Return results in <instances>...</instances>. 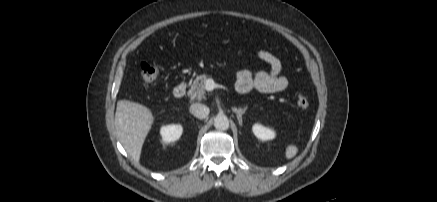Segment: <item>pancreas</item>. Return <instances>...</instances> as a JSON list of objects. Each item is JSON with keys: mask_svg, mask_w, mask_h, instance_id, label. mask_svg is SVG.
<instances>
[{"mask_svg": "<svg viewBox=\"0 0 437 202\" xmlns=\"http://www.w3.org/2000/svg\"><path fill=\"white\" fill-rule=\"evenodd\" d=\"M209 79L206 74L197 76L192 82L188 91V96L193 100L205 99V82Z\"/></svg>", "mask_w": 437, "mask_h": 202, "instance_id": "obj_1", "label": "pancreas"}]
</instances>
